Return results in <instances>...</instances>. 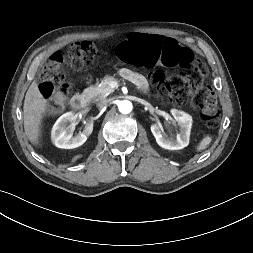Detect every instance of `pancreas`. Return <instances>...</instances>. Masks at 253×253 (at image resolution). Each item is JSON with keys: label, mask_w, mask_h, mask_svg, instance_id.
Wrapping results in <instances>:
<instances>
[{"label": "pancreas", "mask_w": 253, "mask_h": 253, "mask_svg": "<svg viewBox=\"0 0 253 253\" xmlns=\"http://www.w3.org/2000/svg\"><path fill=\"white\" fill-rule=\"evenodd\" d=\"M115 81H117L116 78L112 76H105L100 84H96L85 89L84 94L93 101L103 99L114 91L110 84Z\"/></svg>", "instance_id": "cf45deb5"}]
</instances>
